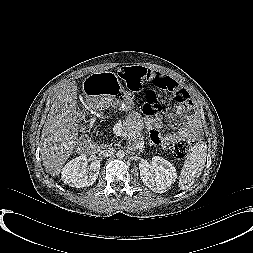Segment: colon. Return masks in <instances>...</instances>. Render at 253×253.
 I'll use <instances>...</instances> for the list:
<instances>
[{
    "instance_id": "obj_1",
    "label": "colon",
    "mask_w": 253,
    "mask_h": 253,
    "mask_svg": "<svg viewBox=\"0 0 253 253\" xmlns=\"http://www.w3.org/2000/svg\"><path fill=\"white\" fill-rule=\"evenodd\" d=\"M120 76L130 91L134 93L144 92L143 110L149 116L158 115L163 108L159 98L160 91L169 93L172 104L175 106L189 107L191 105L190 96L182 88L171 87L160 75L143 67H124L120 71ZM193 140L192 133L178 137L172 147L174 157L183 160L188 155Z\"/></svg>"
}]
</instances>
